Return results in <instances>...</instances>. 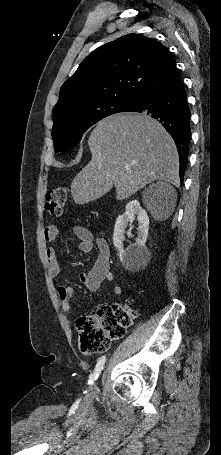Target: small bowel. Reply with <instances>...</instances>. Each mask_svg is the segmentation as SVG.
Wrapping results in <instances>:
<instances>
[{
  "label": "small bowel",
  "instance_id": "small-bowel-1",
  "mask_svg": "<svg viewBox=\"0 0 221 455\" xmlns=\"http://www.w3.org/2000/svg\"><path fill=\"white\" fill-rule=\"evenodd\" d=\"M74 234L79 239L78 249L81 252H91L94 246H97L98 254L92 270L88 273L80 272V281L91 292L99 290L103 282H113L114 276L110 270V249L107 242L98 238L95 239L92 233L83 226H75ZM57 237V229L54 225L46 227L44 231V238L47 242H53ZM46 261L48 264V274L51 277H57L61 272V267L58 262V254L55 247L50 246L45 252ZM71 265L75 268H81L82 262L75 261ZM58 296L60 299L63 312L70 317L73 313V295L74 290L68 285H59L57 287ZM113 292L116 295H121L123 290L121 286L114 285Z\"/></svg>",
  "mask_w": 221,
  "mask_h": 455
}]
</instances>
